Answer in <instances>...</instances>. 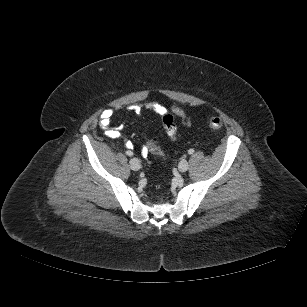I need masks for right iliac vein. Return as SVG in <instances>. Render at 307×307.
Wrapping results in <instances>:
<instances>
[{
	"instance_id": "obj_1",
	"label": "right iliac vein",
	"mask_w": 307,
	"mask_h": 307,
	"mask_svg": "<svg viewBox=\"0 0 307 307\" xmlns=\"http://www.w3.org/2000/svg\"><path fill=\"white\" fill-rule=\"evenodd\" d=\"M130 167L134 171H138L141 168L140 161L137 158H132L129 162Z\"/></svg>"
}]
</instances>
